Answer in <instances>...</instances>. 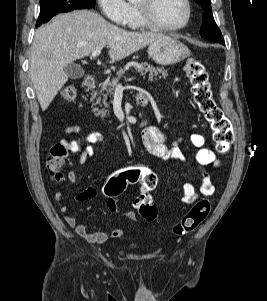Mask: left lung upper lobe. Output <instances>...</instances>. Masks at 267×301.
Segmentation results:
<instances>
[{"label":"left lung upper lobe","instance_id":"left-lung-upper-lobe-1","mask_svg":"<svg viewBox=\"0 0 267 301\" xmlns=\"http://www.w3.org/2000/svg\"><path fill=\"white\" fill-rule=\"evenodd\" d=\"M204 10L202 15V27L200 29V34L203 38L213 41L223 43V37L220 29L217 27L216 22L213 18L212 8H211V0H194Z\"/></svg>","mask_w":267,"mask_h":301}]
</instances>
